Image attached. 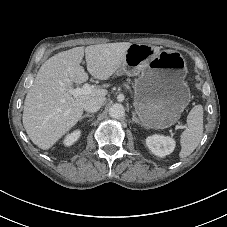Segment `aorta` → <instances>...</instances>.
<instances>
[{
	"label": "aorta",
	"mask_w": 227,
	"mask_h": 227,
	"mask_svg": "<svg viewBox=\"0 0 227 227\" xmlns=\"http://www.w3.org/2000/svg\"><path fill=\"white\" fill-rule=\"evenodd\" d=\"M125 114V109L122 104L115 103L109 108V115L112 118L119 119Z\"/></svg>",
	"instance_id": "obj_1"
}]
</instances>
